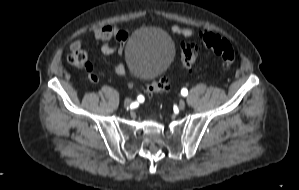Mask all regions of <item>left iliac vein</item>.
Listing matches in <instances>:
<instances>
[{
    "mask_svg": "<svg viewBox=\"0 0 299 190\" xmlns=\"http://www.w3.org/2000/svg\"><path fill=\"white\" fill-rule=\"evenodd\" d=\"M185 106H186V104H185V102H184L183 100H181V101L179 102V104H178V107H179L180 110H184V109H185Z\"/></svg>",
    "mask_w": 299,
    "mask_h": 190,
    "instance_id": "left-iliac-vein-1",
    "label": "left iliac vein"
}]
</instances>
